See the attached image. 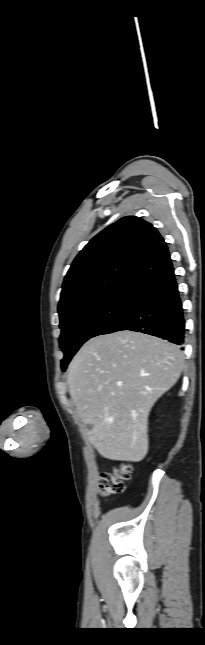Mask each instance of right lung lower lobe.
I'll use <instances>...</instances> for the list:
<instances>
[{
    "label": "right lung lower lobe",
    "instance_id": "obj_1",
    "mask_svg": "<svg viewBox=\"0 0 205 645\" xmlns=\"http://www.w3.org/2000/svg\"><path fill=\"white\" fill-rule=\"evenodd\" d=\"M130 330L184 342L185 321L174 269L160 273L142 286L135 304L101 334Z\"/></svg>",
    "mask_w": 205,
    "mask_h": 645
}]
</instances>
